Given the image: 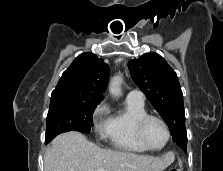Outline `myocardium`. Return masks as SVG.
Returning <instances> with one entry per match:
<instances>
[{"instance_id":"myocardium-1","label":"myocardium","mask_w":223,"mask_h":171,"mask_svg":"<svg viewBox=\"0 0 223 171\" xmlns=\"http://www.w3.org/2000/svg\"><path fill=\"white\" fill-rule=\"evenodd\" d=\"M151 120H157L159 121L165 128L166 130V133H167V138H166V141L165 143L160 146V147H154L152 146L146 139L145 137V128H146V125L149 121ZM136 135H137V138L139 139V141L148 149V150H153V151H158V150H161L163 149L170 141L171 139V130L167 124V122L160 116H157V115H152V114H147V115H144L143 117H141L137 123H136Z\"/></svg>"}]
</instances>
